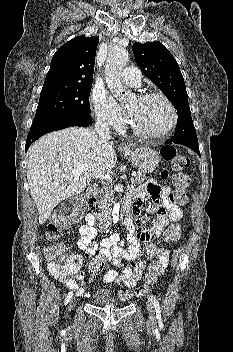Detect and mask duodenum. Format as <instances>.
I'll return each instance as SVG.
<instances>
[{
  "instance_id": "duodenum-1",
  "label": "duodenum",
  "mask_w": 233,
  "mask_h": 352,
  "mask_svg": "<svg viewBox=\"0 0 233 352\" xmlns=\"http://www.w3.org/2000/svg\"><path fill=\"white\" fill-rule=\"evenodd\" d=\"M98 187L96 185H91L86 190L83 202L90 210V213L100 229L108 228L114 221V216L110 211L105 210L97 201ZM134 211V204L131 199L127 202L118 212V217L121 220H127L129 216Z\"/></svg>"
}]
</instances>
